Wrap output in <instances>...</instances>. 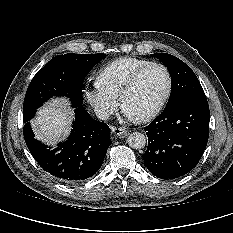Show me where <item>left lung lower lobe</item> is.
<instances>
[{"label":"left lung lower lobe","mask_w":233,"mask_h":233,"mask_svg":"<svg viewBox=\"0 0 233 233\" xmlns=\"http://www.w3.org/2000/svg\"><path fill=\"white\" fill-rule=\"evenodd\" d=\"M210 111L207 101L187 100L165 107L144 128L148 147L144 165L156 177L175 179L199 162L209 137Z\"/></svg>","instance_id":"0a47b994"}]
</instances>
